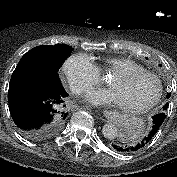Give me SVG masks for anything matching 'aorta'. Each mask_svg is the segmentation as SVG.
Wrapping results in <instances>:
<instances>
[{
	"label": "aorta",
	"instance_id": "1",
	"mask_svg": "<svg viewBox=\"0 0 177 177\" xmlns=\"http://www.w3.org/2000/svg\"><path fill=\"white\" fill-rule=\"evenodd\" d=\"M102 133L105 138L113 140L117 137L118 129L114 124L108 123L103 126Z\"/></svg>",
	"mask_w": 177,
	"mask_h": 177
}]
</instances>
